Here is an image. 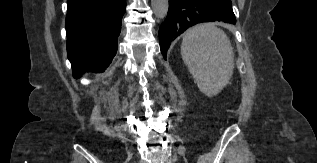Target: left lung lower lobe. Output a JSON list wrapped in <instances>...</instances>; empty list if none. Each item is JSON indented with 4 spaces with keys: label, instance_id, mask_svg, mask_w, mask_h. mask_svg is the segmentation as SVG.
Returning a JSON list of instances; mask_svg holds the SVG:
<instances>
[{
    "label": "left lung lower lobe",
    "instance_id": "left-lung-lower-lobe-1",
    "mask_svg": "<svg viewBox=\"0 0 317 163\" xmlns=\"http://www.w3.org/2000/svg\"><path fill=\"white\" fill-rule=\"evenodd\" d=\"M216 20L236 23L231 0H169L167 18L159 29L160 49L164 58L172 40L186 29Z\"/></svg>",
    "mask_w": 317,
    "mask_h": 163
}]
</instances>
